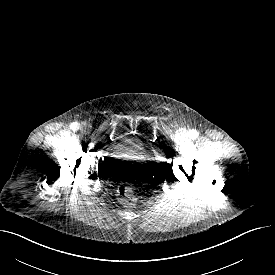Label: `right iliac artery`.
Masks as SVG:
<instances>
[{"instance_id":"obj_1","label":"right iliac artery","mask_w":275,"mask_h":275,"mask_svg":"<svg viewBox=\"0 0 275 275\" xmlns=\"http://www.w3.org/2000/svg\"><path fill=\"white\" fill-rule=\"evenodd\" d=\"M70 127H71V129H72V130H74V131H75V130L79 129V123L74 122V123H72V124H71V126H70Z\"/></svg>"}]
</instances>
